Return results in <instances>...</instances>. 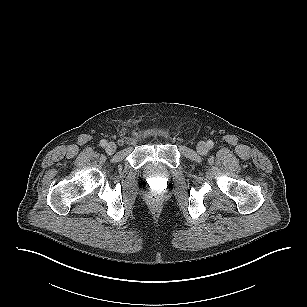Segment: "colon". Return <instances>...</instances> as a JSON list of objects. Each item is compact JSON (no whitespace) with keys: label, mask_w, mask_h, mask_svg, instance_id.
I'll list each match as a JSON object with an SVG mask.
<instances>
[{"label":"colon","mask_w":307,"mask_h":307,"mask_svg":"<svg viewBox=\"0 0 307 307\" xmlns=\"http://www.w3.org/2000/svg\"><path fill=\"white\" fill-rule=\"evenodd\" d=\"M151 200H152L153 202H157V201L159 200V195H158V194H153V195L151 196Z\"/></svg>","instance_id":"obj_1"}]
</instances>
